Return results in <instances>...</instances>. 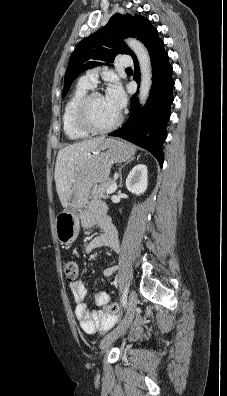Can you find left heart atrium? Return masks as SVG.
<instances>
[{
  "instance_id": "obj_1",
  "label": "left heart atrium",
  "mask_w": 227,
  "mask_h": 396,
  "mask_svg": "<svg viewBox=\"0 0 227 396\" xmlns=\"http://www.w3.org/2000/svg\"><path fill=\"white\" fill-rule=\"evenodd\" d=\"M104 97L107 103L118 113L126 104V95L118 82H113L108 87Z\"/></svg>"
}]
</instances>
